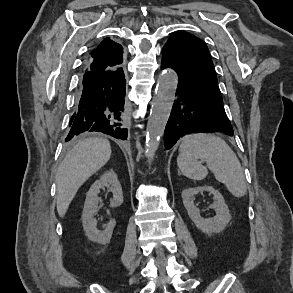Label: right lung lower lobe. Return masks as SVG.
<instances>
[{
    "instance_id": "obj_1",
    "label": "right lung lower lobe",
    "mask_w": 293,
    "mask_h": 293,
    "mask_svg": "<svg viewBox=\"0 0 293 293\" xmlns=\"http://www.w3.org/2000/svg\"><path fill=\"white\" fill-rule=\"evenodd\" d=\"M125 85L122 68L85 73L65 141L84 132H100L126 140Z\"/></svg>"
}]
</instances>
